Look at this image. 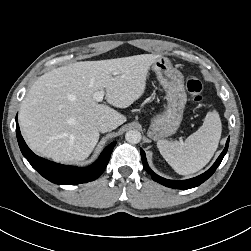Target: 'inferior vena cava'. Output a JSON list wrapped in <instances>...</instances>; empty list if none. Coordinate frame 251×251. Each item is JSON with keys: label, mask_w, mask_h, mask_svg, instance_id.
Wrapping results in <instances>:
<instances>
[{"label": "inferior vena cava", "mask_w": 251, "mask_h": 251, "mask_svg": "<svg viewBox=\"0 0 251 251\" xmlns=\"http://www.w3.org/2000/svg\"><path fill=\"white\" fill-rule=\"evenodd\" d=\"M98 130L102 133L111 131L115 128L114 124L107 119H99L97 121Z\"/></svg>", "instance_id": "602c4592"}]
</instances>
